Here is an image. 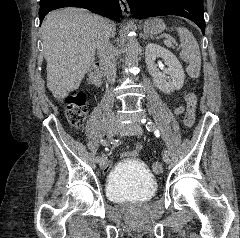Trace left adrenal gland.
I'll use <instances>...</instances> for the list:
<instances>
[{"instance_id": "left-adrenal-gland-1", "label": "left adrenal gland", "mask_w": 240, "mask_h": 238, "mask_svg": "<svg viewBox=\"0 0 240 238\" xmlns=\"http://www.w3.org/2000/svg\"><path fill=\"white\" fill-rule=\"evenodd\" d=\"M149 37H150L151 39H153V36H152V35H149L148 33H145L143 39L145 40V39H147V38H149Z\"/></svg>"}]
</instances>
